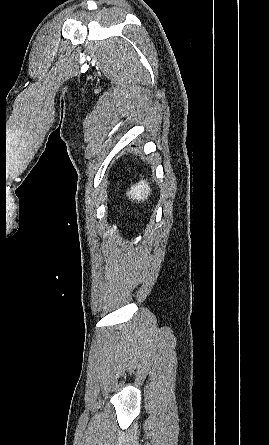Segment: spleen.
Instances as JSON below:
<instances>
[{"label":"spleen","mask_w":269,"mask_h":445,"mask_svg":"<svg viewBox=\"0 0 269 445\" xmlns=\"http://www.w3.org/2000/svg\"><path fill=\"white\" fill-rule=\"evenodd\" d=\"M151 188L146 180H141L135 185H132L131 189L127 192V196L132 201L136 200L138 203L148 199Z\"/></svg>","instance_id":"spleen-1"}]
</instances>
